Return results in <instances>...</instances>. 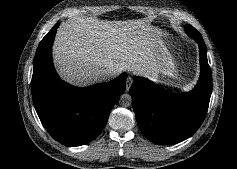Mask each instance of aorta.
<instances>
[{"label":"aorta","mask_w":237,"mask_h":169,"mask_svg":"<svg viewBox=\"0 0 237 169\" xmlns=\"http://www.w3.org/2000/svg\"><path fill=\"white\" fill-rule=\"evenodd\" d=\"M119 104L124 107H128L132 104V98L129 94H123L119 98Z\"/></svg>","instance_id":"762f6f07"}]
</instances>
